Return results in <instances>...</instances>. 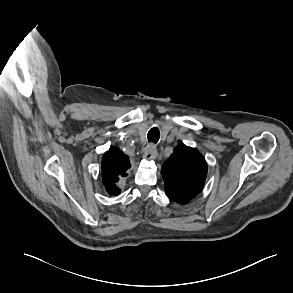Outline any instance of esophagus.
I'll return each instance as SVG.
<instances>
[{"instance_id":"esophagus-1","label":"esophagus","mask_w":293,"mask_h":293,"mask_svg":"<svg viewBox=\"0 0 293 293\" xmlns=\"http://www.w3.org/2000/svg\"><path fill=\"white\" fill-rule=\"evenodd\" d=\"M157 157V150L154 144H149L147 149L143 154V158L145 159H154Z\"/></svg>"}]
</instances>
